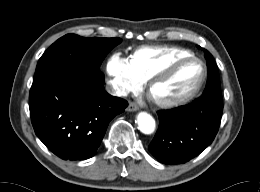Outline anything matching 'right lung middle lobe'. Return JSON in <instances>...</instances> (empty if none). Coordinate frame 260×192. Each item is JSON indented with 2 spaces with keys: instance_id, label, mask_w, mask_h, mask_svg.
Returning a JSON list of instances; mask_svg holds the SVG:
<instances>
[{
  "instance_id": "obj_1",
  "label": "right lung middle lobe",
  "mask_w": 260,
  "mask_h": 192,
  "mask_svg": "<svg viewBox=\"0 0 260 192\" xmlns=\"http://www.w3.org/2000/svg\"><path fill=\"white\" fill-rule=\"evenodd\" d=\"M120 42V38H84L67 34L54 42L41 56L34 79L49 69L64 64L99 69L107 53Z\"/></svg>"
}]
</instances>
